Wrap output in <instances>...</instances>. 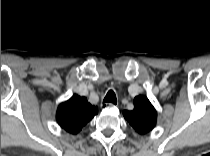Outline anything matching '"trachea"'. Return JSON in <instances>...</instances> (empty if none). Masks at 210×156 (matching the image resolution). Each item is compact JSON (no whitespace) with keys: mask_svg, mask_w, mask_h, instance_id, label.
Returning <instances> with one entry per match:
<instances>
[{"mask_svg":"<svg viewBox=\"0 0 210 156\" xmlns=\"http://www.w3.org/2000/svg\"><path fill=\"white\" fill-rule=\"evenodd\" d=\"M103 102H110L113 104H117V98L113 90H109L108 93L106 94Z\"/></svg>","mask_w":210,"mask_h":156,"instance_id":"trachea-1","label":"trachea"}]
</instances>
